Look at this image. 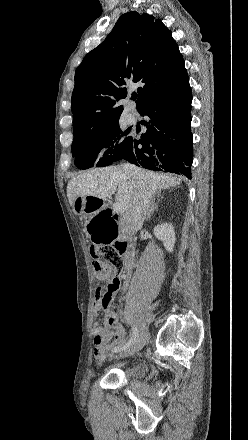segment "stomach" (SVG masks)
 <instances>
[{"label":"stomach","mask_w":248,"mask_h":440,"mask_svg":"<svg viewBox=\"0 0 248 440\" xmlns=\"http://www.w3.org/2000/svg\"><path fill=\"white\" fill-rule=\"evenodd\" d=\"M93 196H79L73 209L76 218H87L85 226L91 246H108L110 241H118L119 223L114 218L113 209H101L102 200Z\"/></svg>","instance_id":"0dacf381"}]
</instances>
